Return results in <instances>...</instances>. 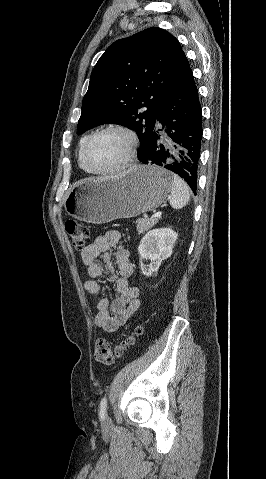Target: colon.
Here are the masks:
<instances>
[{"instance_id":"5ec220e1","label":"colon","mask_w":266,"mask_h":479,"mask_svg":"<svg viewBox=\"0 0 266 479\" xmlns=\"http://www.w3.org/2000/svg\"><path fill=\"white\" fill-rule=\"evenodd\" d=\"M65 230L71 239L73 247L77 250H83L89 240V229L75 220H68L65 223ZM141 333L142 329L138 327L136 334L139 335ZM133 342V336L119 343H111L102 338L98 339L95 345V359L103 365H112L115 359L122 357Z\"/></svg>"}]
</instances>
